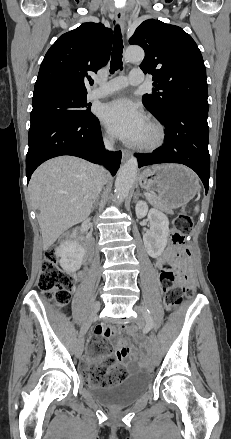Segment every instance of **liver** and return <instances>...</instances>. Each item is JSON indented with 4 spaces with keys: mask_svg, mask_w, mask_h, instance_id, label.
Masks as SVG:
<instances>
[{
    "mask_svg": "<svg viewBox=\"0 0 231 439\" xmlns=\"http://www.w3.org/2000/svg\"><path fill=\"white\" fill-rule=\"evenodd\" d=\"M94 164L71 156L51 159L39 166L29 182V193L47 250L66 230L90 214L103 184Z\"/></svg>",
    "mask_w": 231,
    "mask_h": 439,
    "instance_id": "obj_1",
    "label": "liver"
}]
</instances>
